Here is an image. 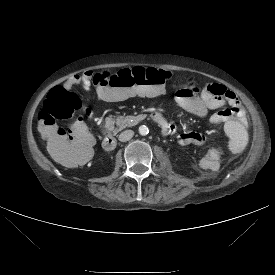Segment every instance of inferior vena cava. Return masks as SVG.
Here are the masks:
<instances>
[{
	"mask_svg": "<svg viewBox=\"0 0 275 275\" xmlns=\"http://www.w3.org/2000/svg\"><path fill=\"white\" fill-rule=\"evenodd\" d=\"M134 135V132L132 130H125L119 135V141L126 142L130 140Z\"/></svg>",
	"mask_w": 275,
	"mask_h": 275,
	"instance_id": "inferior-vena-cava-1",
	"label": "inferior vena cava"
}]
</instances>
